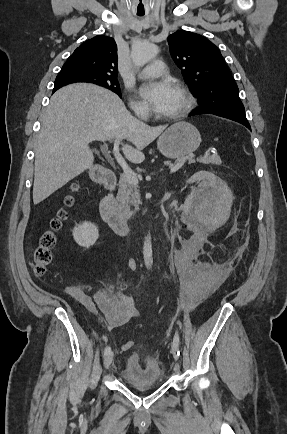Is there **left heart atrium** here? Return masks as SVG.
I'll list each match as a JSON object with an SVG mask.
<instances>
[{"instance_id": "39dd6f15", "label": "left heart atrium", "mask_w": 287, "mask_h": 434, "mask_svg": "<svg viewBox=\"0 0 287 434\" xmlns=\"http://www.w3.org/2000/svg\"><path fill=\"white\" fill-rule=\"evenodd\" d=\"M176 87L169 82H152L140 88L141 96L158 113H165L174 98Z\"/></svg>"}]
</instances>
